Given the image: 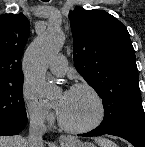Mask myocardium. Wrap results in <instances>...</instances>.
I'll return each mask as SVG.
<instances>
[{"label": "myocardium", "mask_w": 145, "mask_h": 147, "mask_svg": "<svg viewBox=\"0 0 145 147\" xmlns=\"http://www.w3.org/2000/svg\"><path fill=\"white\" fill-rule=\"evenodd\" d=\"M70 90L88 91L96 101V104L98 107V113L96 118L92 122L82 126L69 125L63 120L61 115L58 114V122L60 127L67 132L75 133V134L91 132L95 130L96 128H98L104 122L106 118V106L99 92L93 86L87 83H77L73 85Z\"/></svg>", "instance_id": "f54148a6"}]
</instances>
